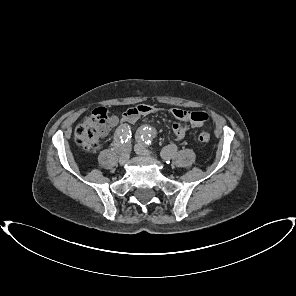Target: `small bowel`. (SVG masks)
Instances as JSON below:
<instances>
[{"label":"small bowel","mask_w":296,"mask_h":296,"mask_svg":"<svg viewBox=\"0 0 296 296\" xmlns=\"http://www.w3.org/2000/svg\"><path fill=\"white\" fill-rule=\"evenodd\" d=\"M155 110L156 109L151 105L139 104L135 107H132L126 110L123 113L121 119H119L118 116H112L109 120V129L117 125L120 120L126 124L134 123L140 117L151 114L155 112ZM171 113L178 120V122H176L173 125V133L177 141H180L185 137L186 131H187L186 123H190L193 127H201L203 123L206 121V120H194L193 117L195 115L203 114L208 117L207 113H205L204 111L192 112V111H187L179 108L172 109ZM176 149H177L176 144H173V143L168 144L167 146H165L163 154L164 155L172 154L174 151H176Z\"/></svg>","instance_id":"1"}]
</instances>
